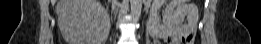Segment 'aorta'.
I'll list each match as a JSON object with an SVG mask.
<instances>
[{
    "label": "aorta",
    "mask_w": 261,
    "mask_h": 44,
    "mask_svg": "<svg viewBox=\"0 0 261 44\" xmlns=\"http://www.w3.org/2000/svg\"><path fill=\"white\" fill-rule=\"evenodd\" d=\"M143 0H130L131 13L135 20H138L141 15Z\"/></svg>",
    "instance_id": "aorta-1"
}]
</instances>
